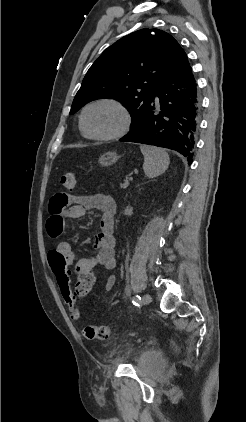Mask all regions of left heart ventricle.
<instances>
[{"instance_id":"b2bd125f","label":"left heart ventricle","mask_w":246,"mask_h":422,"mask_svg":"<svg viewBox=\"0 0 246 422\" xmlns=\"http://www.w3.org/2000/svg\"><path fill=\"white\" fill-rule=\"evenodd\" d=\"M122 116L112 105L100 104L91 107L85 114V127L95 135L115 132L121 125Z\"/></svg>"}]
</instances>
